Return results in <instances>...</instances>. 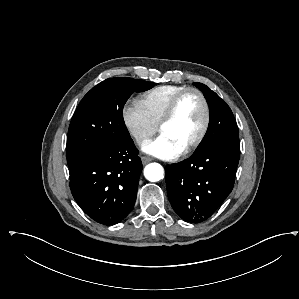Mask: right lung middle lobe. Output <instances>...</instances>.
Segmentation results:
<instances>
[{"instance_id":"right-lung-middle-lobe-1","label":"right lung middle lobe","mask_w":299,"mask_h":299,"mask_svg":"<svg viewBox=\"0 0 299 299\" xmlns=\"http://www.w3.org/2000/svg\"><path fill=\"white\" fill-rule=\"evenodd\" d=\"M152 82L110 78L92 88L77 107L67 136V162L74 167L88 156L131 140L123 120L130 95L149 90Z\"/></svg>"}]
</instances>
